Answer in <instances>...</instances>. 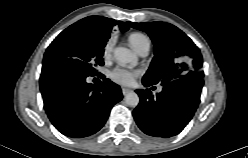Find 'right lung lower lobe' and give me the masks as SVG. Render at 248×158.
<instances>
[{"label": "right lung lower lobe", "mask_w": 248, "mask_h": 158, "mask_svg": "<svg viewBox=\"0 0 248 158\" xmlns=\"http://www.w3.org/2000/svg\"><path fill=\"white\" fill-rule=\"evenodd\" d=\"M85 79L70 74L40 77L45 111L56 129L68 137L96 133L105 124L112 106L122 99L120 87L109 79L95 86Z\"/></svg>", "instance_id": "98d812e1"}]
</instances>
